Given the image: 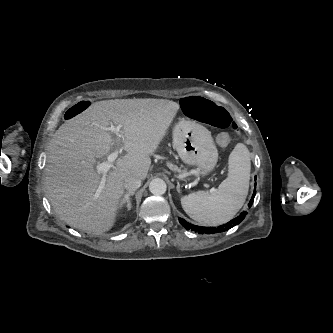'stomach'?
Returning <instances> with one entry per match:
<instances>
[{
    "label": "stomach",
    "mask_w": 333,
    "mask_h": 333,
    "mask_svg": "<svg viewBox=\"0 0 333 333\" xmlns=\"http://www.w3.org/2000/svg\"><path fill=\"white\" fill-rule=\"evenodd\" d=\"M211 140V132L191 119H181L173 129V145L180 158L197 166L202 176L212 172L218 161L217 147Z\"/></svg>",
    "instance_id": "obj_1"
}]
</instances>
